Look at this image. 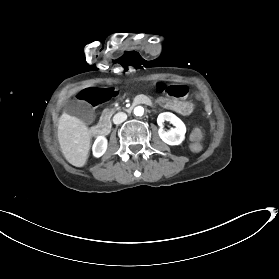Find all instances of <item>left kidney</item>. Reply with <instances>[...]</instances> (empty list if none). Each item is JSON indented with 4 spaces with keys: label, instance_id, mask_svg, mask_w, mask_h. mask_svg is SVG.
Instances as JSON below:
<instances>
[{
    "label": "left kidney",
    "instance_id": "left-kidney-1",
    "mask_svg": "<svg viewBox=\"0 0 279 279\" xmlns=\"http://www.w3.org/2000/svg\"><path fill=\"white\" fill-rule=\"evenodd\" d=\"M157 121L159 125H162L165 121H168L175 127L169 132H166L163 129L159 130V137L163 142L171 146H177L185 140L186 125L176 115L170 112H164L159 114Z\"/></svg>",
    "mask_w": 279,
    "mask_h": 279
}]
</instances>
